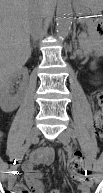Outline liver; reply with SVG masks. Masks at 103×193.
I'll use <instances>...</instances> for the list:
<instances>
[{
	"instance_id": "6515ba94",
	"label": "liver",
	"mask_w": 103,
	"mask_h": 193,
	"mask_svg": "<svg viewBox=\"0 0 103 193\" xmlns=\"http://www.w3.org/2000/svg\"><path fill=\"white\" fill-rule=\"evenodd\" d=\"M55 0H1V75L20 70L31 56L30 20L34 12L54 8Z\"/></svg>"
}]
</instances>
